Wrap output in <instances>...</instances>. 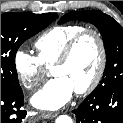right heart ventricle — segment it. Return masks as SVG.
<instances>
[{
    "label": "right heart ventricle",
    "instance_id": "1",
    "mask_svg": "<svg viewBox=\"0 0 123 123\" xmlns=\"http://www.w3.org/2000/svg\"><path fill=\"white\" fill-rule=\"evenodd\" d=\"M84 27L78 24L54 26L42 33L34 43L37 57L45 67H51L61 56L65 45Z\"/></svg>",
    "mask_w": 123,
    "mask_h": 123
}]
</instances>
